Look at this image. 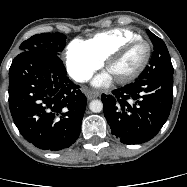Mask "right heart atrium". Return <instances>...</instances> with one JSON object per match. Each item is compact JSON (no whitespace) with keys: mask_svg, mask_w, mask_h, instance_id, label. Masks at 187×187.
Listing matches in <instances>:
<instances>
[{"mask_svg":"<svg viewBox=\"0 0 187 187\" xmlns=\"http://www.w3.org/2000/svg\"><path fill=\"white\" fill-rule=\"evenodd\" d=\"M65 59L69 74L79 82L89 79L102 64V59L79 39L73 40L67 46Z\"/></svg>","mask_w":187,"mask_h":187,"instance_id":"right-heart-atrium-1","label":"right heart atrium"}]
</instances>
